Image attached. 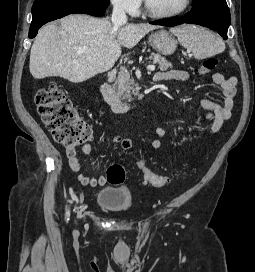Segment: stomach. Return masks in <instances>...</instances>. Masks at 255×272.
<instances>
[{
    "mask_svg": "<svg viewBox=\"0 0 255 272\" xmlns=\"http://www.w3.org/2000/svg\"><path fill=\"white\" fill-rule=\"evenodd\" d=\"M148 39L152 48L164 56L172 55L177 49V40L166 30L153 32Z\"/></svg>",
    "mask_w": 255,
    "mask_h": 272,
    "instance_id": "stomach-1",
    "label": "stomach"
}]
</instances>
